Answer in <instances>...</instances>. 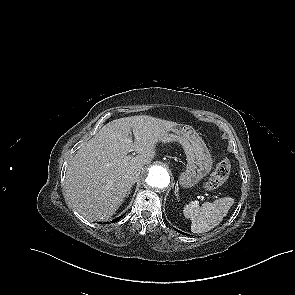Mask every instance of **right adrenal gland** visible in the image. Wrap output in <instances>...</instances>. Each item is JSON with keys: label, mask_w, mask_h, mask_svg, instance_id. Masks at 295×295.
Instances as JSON below:
<instances>
[{"label": "right adrenal gland", "mask_w": 295, "mask_h": 295, "mask_svg": "<svg viewBox=\"0 0 295 295\" xmlns=\"http://www.w3.org/2000/svg\"><path fill=\"white\" fill-rule=\"evenodd\" d=\"M130 192H131V188L129 189L127 196H129Z\"/></svg>", "instance_id": "right-adrenal-gland-1"}]
</instances>
